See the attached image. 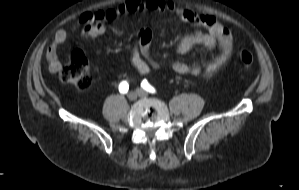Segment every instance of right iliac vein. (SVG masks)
I'll use <instances>...</instances> for the list:
<instances>
[{
    "label": "right iliac vein",
    "mask_w": 299,
    "mask_h": 190,
    "mask_svg": "<svg viewBox=\"0 0 299 190\" xmlns=\"http://www.w3.org/2000/svg\"><path fill=\"white\" fill-rule=\"evenodd\" d=\"M137 91H132L128 94V99L131 101H135L137 99Z\"/></svg>",
    "instance_id": "right-iliac-vein-1"
}]
</instances>
